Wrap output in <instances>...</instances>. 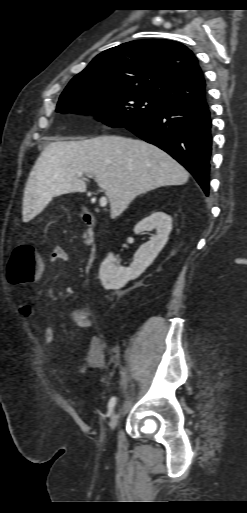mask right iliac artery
I'll return each mask as SVG.
<instances>
[{
    "label": "right iliac artery",
    "mask_w": 247,
    "mask_h": 513,
    "mask_svg": "<svg viewBox=\"0 0 247 513\" xmlns=\"http://www.w3.org/2000/svg\"><path fill=\"white\" fill-rule=\"evenodd\" d=\"M115 403H116V397H112L110 400H109V403H108V409H109V412H112L114 406H115Z\"/></svg>",
    "instance_id": "right-iliac-artery-1"
}]
</instances>
